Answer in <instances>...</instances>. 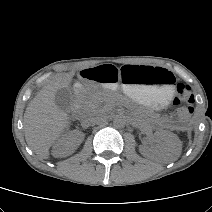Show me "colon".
<instances>
[{
  "mask_svg": "<svg viewBox=\"0 0 212 212\" xmlns=\"http://www.w3.org/2000/svg\"><path fill=\"white\" fill-rule=\"evenodd\" d=\"M174 105L178 106L181 114L188 117L194 109L195 98L189 85L179 83L176 87Z\"/></svg>",
  "mask_w": 212,
  "mask_h": 212,
  "instance_id": "colon-1",
  "label": "colon"
}]
</instances>
